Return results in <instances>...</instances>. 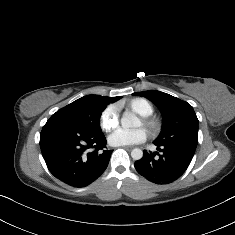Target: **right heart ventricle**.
<instances>
[{"instance_id": "right-heart-ventricle-1", "label": "right heart ventricle", "mask_w": 235, "mask_h": 235, "mask_svg": "<svg viewBox=\"0 0 235 235\" xmlns=\"http://www.w3.org/2000/svg\"><path fill=\"white\" fill-rule=\"evenodd\" d=\"M127 106L142 117H148L153 113V105L145 98H132L128 100Z\"/></svg>"}]
</instances>
